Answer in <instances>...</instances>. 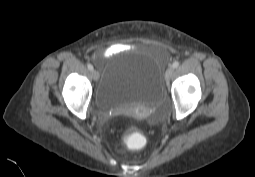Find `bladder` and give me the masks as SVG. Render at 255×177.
<instances>
[{"mask_svg": "<svg viewBox=\"0 0 255 177\" xmlns=\"http://www.w3.org/2000/svg\"><path fill=\"white\" fill-rule=\"evenodd\" d=\"M163 98L160 62L150 54L125 53L107 68L94 103L100 111L155 108Z\"/></svg>", "mask_w": 255, "mask_h": 177, "instance_id": "31cf9c89", "label": "bladder"}]
</instances>
